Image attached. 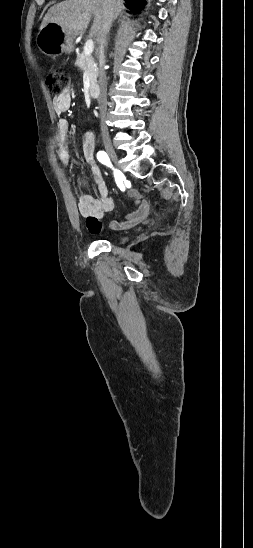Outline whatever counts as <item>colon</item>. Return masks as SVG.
Segmentation results:
<instances>
[{"label":"colon","instance_id":"1","mask_svg":"<svg viewBox=\"0 0 253 548\" xmlns=\"http://www.w3.org/2000/svg\"><path fill=\"white\" fill-rule=\"evenodd\" d=\"M46 82L50 92L58 95L66 90L69 84V78L61 68L51 67L48 70Z\"/></svg>","mask_w":253,"mask_h":548}]
</instances>
